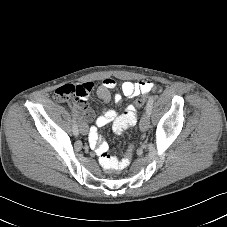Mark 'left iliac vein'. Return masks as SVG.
<instances>
[{
  "label": "left iliac vein",
  "mask_w": 227,
  "mask_h": 227,
  "mask_svg": "<svg viewBox=\"0 0 227 227\" xmlns=\"http://www.w3.org/2000/svg\"><path fill=\"white\" fill-rule=\"evenodd\" d=\"M150 126V115L145 112L140 121V129L141 131L145 132L149 129Z\"/></svg>",
  "instance_id": "left-iliac-vein-1"
}]
</instances>
